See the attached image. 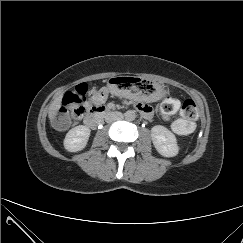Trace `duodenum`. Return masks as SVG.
Returning <instances> with one entry per match:
<instances>
[{
  "label": "duodenum",
  "mask_w": 243,
  "mask_h": 243,
  "mask_svg": "<svg viewBox=\"0 0 243 243\" xmlns=\"http://www.w3.org/2000/svg\"><path fill=\"white\" fill-rule=\"evenodd\" d=\"M111 112V109L102 105L93 107L85 117V124L90 128H96Z\"/></svg>",
  "instance_id": "1"
}]
</instances>
